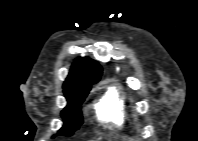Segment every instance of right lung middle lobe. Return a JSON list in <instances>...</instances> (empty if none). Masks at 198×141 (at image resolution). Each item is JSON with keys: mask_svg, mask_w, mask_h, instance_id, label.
<instances>
[{"mask_svg": "<svg viewBox=\"0 0 198 141\" xmlns=\"http://www.w3.org/2000/svg\"><path fill=\"white\" fill-rule=\"evenodd\" d=\"M90 89L91 85L64 88V93L68 103L61 113L64 125L58 131V134L63 136H71L76 130L79 129L83 123L80 108L81 103L84 101Z\"/></svg>", "mask_w": 198, "mask_h": 141, "instance_id": "obj_1", "label": "right lung middle lobe"}]
</instances>
